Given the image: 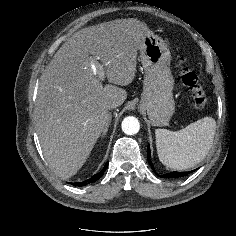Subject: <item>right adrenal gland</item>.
Wrapping results in <instances>:
<instances>
[{"mask_svg": "<svg viewBox=\"0 0 236 236\" xmlns=\"http://www.w3.org/2000/svg\"><path fill=\"white\" fill-rule=\"evenodd\" d=\"M110 123H111V120L107 123V125L105 126L104 130H103V134H102V137H104V135L107 133L108 131V128L110 126Z\"/></svg>", "mask_w": 236, "mask_h": 236, "instance_id": "2a0ac1e0", "label": "right adrenal gland"}]
</instances>
